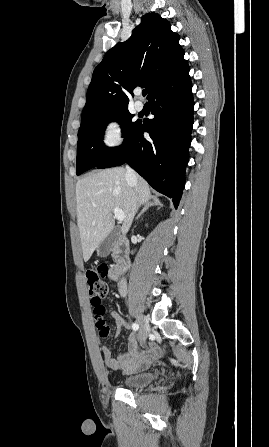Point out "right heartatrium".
I'll return each instance as SVG.
<instances>
[{"label":"right heart atrium","instance_id":"1","mask_svg":"<svg viewBox=\"0 0 269 447\" xmlns=\"http://www.w3.org/2000/svg\"><path fill=\"white\" fill-rule=\"evenodd\" d=\"M123 125L118 118L109 119L101 133V142L109 148L119 146L123 142Z\"/></svg>","mask_w":269,"mask_h":447}]
</instances>
